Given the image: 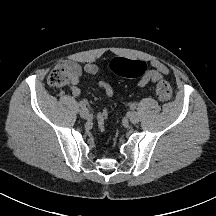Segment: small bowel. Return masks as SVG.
<instances>
[{
	"label": "small bowel",
	"mask_w": 216,
	"mask_h": 216,
	"mask_svg": "<svg viewBox=\"0 0 216 216\" xmlns=\"http://www.w3.org/2000/svg\"><path fill=\"white\" fill-rule=\"evenodd\" d=\"M68 70L69 77V89L73 96L80 95L81 90L79 88V82L84 73L90 75H96L100 72V67L96 63H86L81 66L77 62L68 60L63 62ZM151 69L145 71L138 81L139 87H145L149 84L156 83L169 73L168 67L160 60L152 59L149 62ZM99 86L104 90L107 97L111 98L114 95L113 88L106 81H100Z\"/></svg>",
	"instance_id": "small-bowel-1"
}]
</instances>
